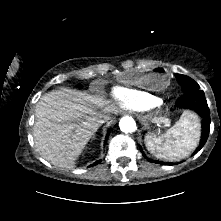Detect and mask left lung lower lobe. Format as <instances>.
<instances>
[{"instance_id":"0a47b994","label":"left lung lower lobe","mask_w":221,"mask_h":221,"mask_svg":"<svg viewBox=\"0 0 221 221\" xmlns=\"http://www.w3.org/2000/svg\"><path fill=\"white\" fill-rule=\"evenodd\" d=\"M176 107L192 110L196 112L201 118L202 136H201L200 144L193 154L195 155L206 143L208 136H209V131H210V122H211L210 110L207 105L204 92L202 90H197L193 92L183 93V95L177 100ZM140 150L143 156L147 158L141 148ZM147 160L150 162L159 163L163 165H173V163H162L159 161H153L149 158H147Z\"/></svg>"}]
</instances>
